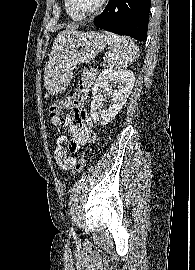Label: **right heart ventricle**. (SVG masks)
Here are the masks:
<instances>
[{
  "label": "right heart ventricle",
  "mask_w": 195,
  "mask_h": 270,
  "mask_svg": "<svg viewBox=\"0 0 195 270\" xmlns=\"http://www.w3.org/2000/svg\"><path fill=\"white\" fill-rule=\"evenodd\" d=\"M64 6H65L66 13H67L73 20H80V19L76 18L72 13H70V11L68 10L67 4H66V0H65V3H64Z\"/></svg>",
  "instance_id": "1"
}]
</instances>
